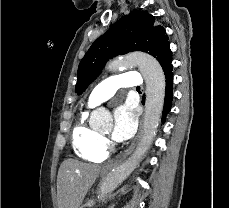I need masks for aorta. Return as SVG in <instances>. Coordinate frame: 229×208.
<instances>
[{
	"label": "aorta",
	"mask_w": 229,
	"mask_h": 208,
	"mask_svg": "<svg viewBox=\"0 0 229 208\" xmlns=\"http://www.w3.org/2000/svg\"><path fill=\"white\" fill-rule=\"evenodd\" d=\"M137 66L146 84V106L143 123V135L134 153L120 166L115 168L103 181L99 191V201L104 202L138 166L139 162L150 148L156 135L165 98V75L159 62L144 53H132L121 59L110 61L106 69L109 71L124 70ZM112 116L103 107L91 113L93 127H108Z\"/></svg>",
	"instance_id": "aorta-1"
}]
</instances>
